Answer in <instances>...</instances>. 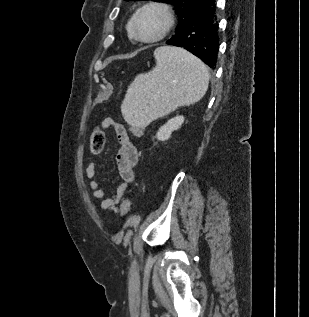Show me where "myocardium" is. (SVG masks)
<instances>
[{
	"label": "myocardium",
	"instance_id": "f54148a6",
	"mask_svg": "<svg viewBox=\"0 0 309 317\" xmlns=\"http://www.w3.org/2000/svg\"><path fill=\"white\" fill-rule=\"evenodd\" d=\"M149 10L159 12L164 18V24L160 32L150 38L142 37L138 31V21L143 13ZM175 22L174 14L170 7L160 2H149L141 6L132 18V34L135 39L143 43H154L162 40L173 28Z\"/></svg>",
	"mask_w": 309,
	"mask_h": 317
}]
</instances>
